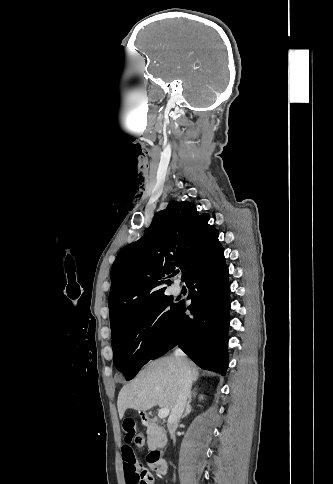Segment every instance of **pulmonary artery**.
Listing matches in <instances>:
<instances>
[{"label":"pulmonary artery","instance_id":"obj_1","mask_svg":"<svg viewBox=\"0 0 333 484\" xmlns=\"http://www.w3.org/2000/svg\"><path fill=\"white\" fill-rule=\"evenodd\" d=\"M181 286L179 283H175L173 286H172V292L175 294V295H178L181 293Z\"/></svg>","mask_w":333,"mask_h":484}]
</instances>
